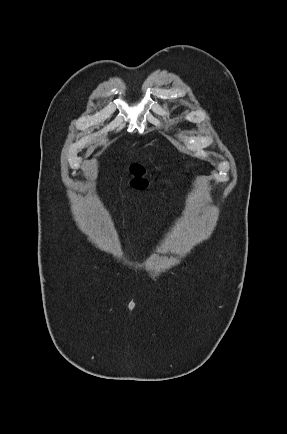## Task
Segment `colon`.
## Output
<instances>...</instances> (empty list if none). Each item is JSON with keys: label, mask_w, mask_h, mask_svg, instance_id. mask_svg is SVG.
I'll return each instance as SVG.
<instances>
[{"label": "colon", "mask_w": 287, "mask_h": 434, "mask_svg": "<svg viewBox=\"0 0 287 434\" xmlns=\"http://www.w3.org/2000/svg\"><path fill=\"white\" fill-rule=\"evenodd\" d=\"M130 170L134 176L131 185L136 189H145L149 184L148 179L145 177V168L141 165L135 164L131 166Z\"/></svg>", "instance_id": "5ec220e1"}]
</instances>
